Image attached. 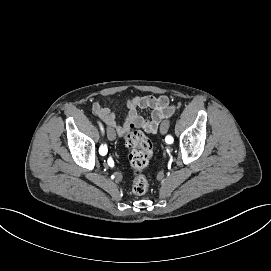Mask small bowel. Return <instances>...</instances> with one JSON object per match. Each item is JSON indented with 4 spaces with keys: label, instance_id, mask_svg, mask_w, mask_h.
<instances>
[{
    "label": "small bowel",
    "instance_id": "small-bowel-1",
    "mask_svg": "<svg viewBox=\"0 0 271 271\" xmlns=\"http://www.w3.org/2000/svg\"><path fill=\"white\" fill-rule=\"evenodd\" d=\"M139 109H150V118L147 119L140 115ZM91 111L107 126V129L122 136L133 127L142 129L147 133H156L160 122L171 117L175 107L170 103L167 96L139 95L127 100L126 113L122 122H118L115 114L100 103H94Z\"/></svg>",
    "mask_w": 271,
    "mask_h": 271
}]
</instances>
